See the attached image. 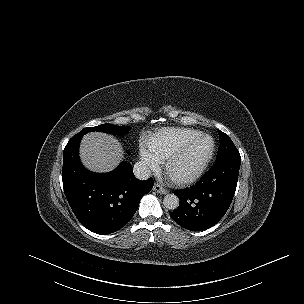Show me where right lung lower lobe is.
<instances>
[{
	"instance_id": "1",
	"label": "right lung lower lobe",
	"mask_w": 304,
	"mask_h": 304,
	"mask_svg": "<svg viewBox=\"0 0 304 304\" xmlns=\"http://www.w3.org/2000/svg\"><path fill=\"white\" fill-rule=\"evenodd\" d=\"M82 135L76 134L63 153L62 179L66 198L79 222L97 234H110L133 217L141 198L154 181L134 176L131 164L122 162L109 173H92L79 159Z\"/></svg>"
}]
</instances>
